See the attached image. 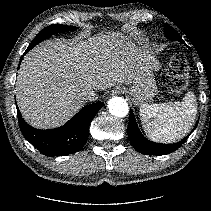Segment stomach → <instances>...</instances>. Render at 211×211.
Segmentation results:
<instances>
[{"label":"stomach","instance_id":"obj_1","mask_svg":"<svg viewBox=\"0 0 211 211\" xmlns=\"http://www.w3.org/2000/svg\"><path fill=\"white\" fill-rule=\"evenodd\" d=\"M159 66L154 55H151L147 66L128 89L132 102L141 105L150 101L157 93L155 72Z\"/></svg>","mask_w":211,"mask_h":211}]
</instances>
